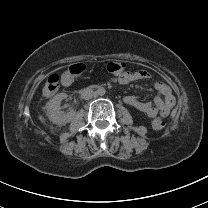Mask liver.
<instances>
[{
    "instance_id": "6515ba94",
    "label": "liver",
    "mask_w": 208,
    "mask_h": 208,
    "mask_svg": "<svg viewBox=\"0 0 208 208\" xmlns=\"http://www.w3.org/2000/svg\"><path fill=\"white\" fill-rule=\"evenodd\" d=\"M37 119L41 124H45V122H46L45 118L41 114L37 115Z\"/></svg>"
}]
</instances>
